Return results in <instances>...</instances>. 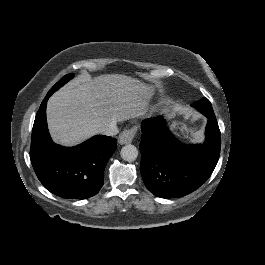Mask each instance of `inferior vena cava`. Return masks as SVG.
<instances>
[{"mask_svg": "<svg viewBox=\"0 0 265 265\" xmlns=\"http://www.w3.org/2000/svg\"><path fill=\"white\" fill-rule=\"evenodd\" d=\"M118 133V130L115 126V123L110 122L108 125H106L102 129V134L107 135V136H114Z\"/></svg>", "mask_w": 265, "mask_h": 265, "instance_id": "602c4592", "label": "inferior vena cava"}]
</instances>
